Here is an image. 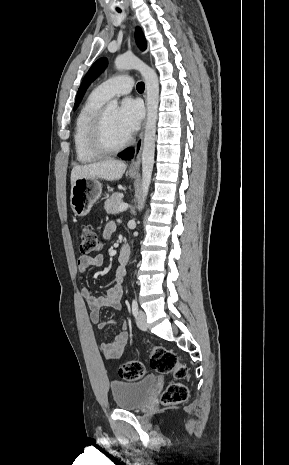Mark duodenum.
Wrapping results in <instances>:
<instances>
[{
	"instance_id": "obj_1",
	"label": "duodenum",
	"mask_w": 289,
	"mask_h": 465,
	"mask_svg": "<svg viewBox=\"0 0 289 465\" xmlns=\"http://www.w3.org/2000/svg\"><path fill=\"white\" fill-rule=\"evenodd\" d=\"M130 254V248L128 245H123L120 251V262L126 263Z\"/></svg>"
}]
</instances>
